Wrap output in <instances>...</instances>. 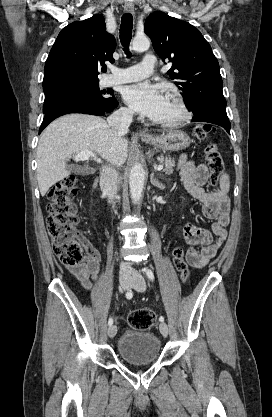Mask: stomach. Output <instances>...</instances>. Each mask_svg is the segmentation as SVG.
Instances as JSON below:
<instances>
[{"label": "stomach", "mask_w": 272, "mask_h": 417, "mask_svg": "<svg viewBox=\"0 0 272 417\" xmlns=\"http://www.w3.org/2000/svg\"><path fill=\"white\" fill-rule=\"evenodd\" d=\"M141 139L146 143L154 145L156 148L170 152L181 151L189 147L191 143L190 137L180 130H170L166 134L141 137Z\"/></svg>", "instance_id": "stomach-1"}]
</instances>
